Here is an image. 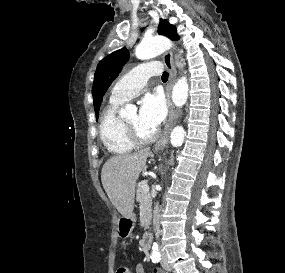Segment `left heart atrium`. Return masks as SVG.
<instances>
[{
	"label": "left heart atrium",
	"instance_id": "left-heart-atrium-1",
	"mask_svg": "<svg viewBox=\"0 0 285 273\" xmlns=\"http://www.w3.org/2000/svg\"><path fill=\"white\" fill-rule=\"evenodd\" d=\"M166 102L162 94L150 93L140 102L139 121L142 125L156 130L166 117Z\"/></svg>",
	"mask_w": 285,
	"mask_h": 273
}]
</instances>
